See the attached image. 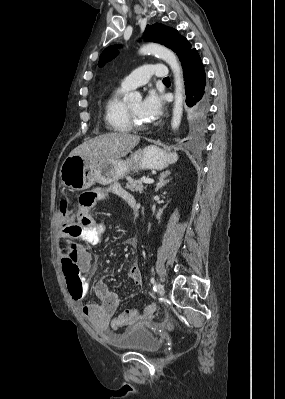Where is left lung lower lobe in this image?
Returning a JSON list of instances; mask_svg holds the SVG:
<instances>
[{
  "mask_svg": "<svg viewBox=\"0 0 285 399\" xmlns=\"http://www.w3.org/2000/svg\"><path fill=\"white\" fill-rule=\"evenodd\" d=\"M180 61L185 80L186 104L196 121V128L200 130L207 115L209 99L202 60L197 50L192 48Z\"/></svg>",
  "mask_w": 285,
  "mask_h": 399,
  "instance_id": "left-lung-lower-lobe-1",
  "label": "left lung lower lobe"
}]
</instances>
